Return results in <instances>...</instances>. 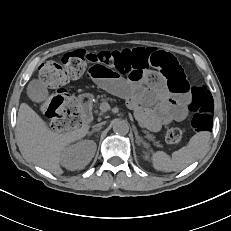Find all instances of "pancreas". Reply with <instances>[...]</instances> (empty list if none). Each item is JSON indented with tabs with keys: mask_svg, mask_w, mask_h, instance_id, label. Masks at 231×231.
I'll return each mask as SVG.
<instances>
[{
	"mask_svg": "<svg viewBox=\"0 0 231 231\" xmlns=\"http://www.w3.org/2000/svg\"><path fill=\"white\" fill-rule=\"evenodd\" d=\"M108 101H112V99L107 98L105 95H101V102H108ZM144 133L146 134L145 137L148 140L152 141L154 143V145H156L158 147L161 146L159 141L155 140V136L153 134L149 133L147 130H144Z\"/></svg>",
	"mask_w": 231,
	"mask_h": 231,
	"instance_id": "1",
	"label": "pancreas"
}]
</instances>
